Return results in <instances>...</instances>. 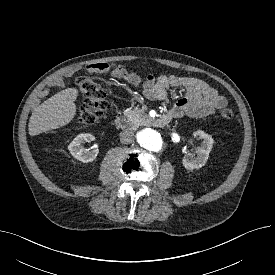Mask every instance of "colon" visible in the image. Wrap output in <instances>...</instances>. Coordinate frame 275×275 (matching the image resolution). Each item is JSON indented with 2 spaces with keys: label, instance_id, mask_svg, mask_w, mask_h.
Listing matches in <instances>:
<instances>
[{
  "label": "colon",
  "instance_id": "obj_1",
  "mask_svg": "<svg viewBox=\"0 0 275 275\" xmlns=\"http://www.w3.org/2000/svg\"><path fill=\"white\" fill-rule=\"evenodd\" d=\"M110 65V64H109ZM115 70H121L122 66L110 65ZM84 99L79 109L78 122L82 125L95 123L109 108V102L104 90L89 77H79L77 79ZM223 119L229 120L234 113L230 107L221 110Z\"/></svg>",
  "mask_w": 275,
  "mask_h": 275
}]
</instances>
